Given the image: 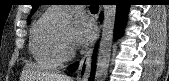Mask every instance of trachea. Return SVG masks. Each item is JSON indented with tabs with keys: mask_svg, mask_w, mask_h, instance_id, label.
Masks as SVG:
<instances>
[{
	"mask_svg": "<svg viewBox=\"0 0 169 81\" xmlns=\"http://www.w3.org/2000/svg\"><path fill=\"white\" fill-rule=\"evenodd\" d=\"M90 9L91 10H98V5L97 4H91Z\"/></svg>",
	"mask_w": 169,
	"mask_h": 81,
	"instance_id": "1",
	"label": "trachea"
}]
</instances>
